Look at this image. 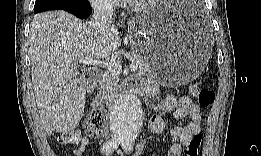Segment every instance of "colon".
<instances>
[{"label": "colon", "instance_id": "colon-1", "mask_svg": "<svg viewBox=\"0 0 261 156\" xmlns=\"http://www.w3.org/2000/svg\"><path fill=\"white\" fill-rule=\"evenodd\" d=\"M189 93L193 97H197L202 107L210 106L215 99V94L208 88H201L199 82H194L189 87ZM86 133L90 137H102L107 133L106 110L104 107L93 110L86 122ZM58 141L61 144L78 146L81 143V133L77 130L65 131L59 134ZM202 143L201 133H196L184 148L186 156H197Z\"/></svg>", "mask_w": 261, "mask_h": 156}]
</instances>
